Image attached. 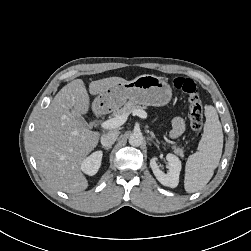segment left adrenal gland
Segmentation results:
<instances>
[{
	"label": "left adrenal gland",
	"mask_w": 251,
	"mask_h": 251,
	"mask_svg": "<svg viewBox=\"0 0 251 251\" xmlns=\"http://www.w3.org/2000/svg\"><path fill=\"white\" fill-rule=\"evenodd\" d=\"M153 138L156 140V142H157V143H159V142H158V140L155 138V136H154V135H153Z\"/></svg>",
	"instance_id": "a2214340"
}]
</instances>
